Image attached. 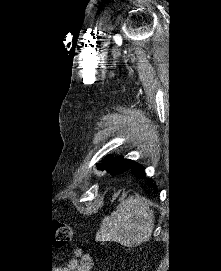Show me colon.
<instances>
[{
  "label": "colon",
  "mask_w": 221,
  "mask_h": 271,
  "mask_svg": "<svg viewBox=\"0 0 221 271\" xmlns=\"http://www.w3.org/2000/svg\"><path fill=\"white\" fill-rule=\"evenodd\" d=\"M54 239L61 246L72 241L74 230L70 223H61L55 226Z\"/></svg>",
  "instance_id": "5ec220e1"
}]
</instances>
